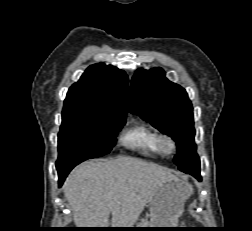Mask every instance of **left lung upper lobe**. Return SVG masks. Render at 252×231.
Returning <instances> with one entry per match:
<instances>
[{
    "label": "left lung upper lobe",
    "instance_id": "left-lung-upper-lobe-1",
    "mask_svg": "<svg viewBox=\"0 0 252 231\" xmlns=\"http://www.w3.org/2000/svg\"><path fill=\"white\" fill-rule=\"evenodd\" d=\"M129 109L176 142L174 162L178 169L200 168L196 153L193 108L181 86L165 77L161 68L139 69L132 78Z\"/></svg>",
    "mask_w": 252,
    "mask_h": 231
}]
</instances>
